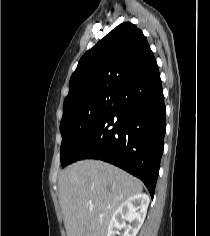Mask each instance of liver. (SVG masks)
<instances>
[{"instance_id":"obj_1","label":"liver","mask_w":210,"mask_h":236,"mask_svg":"<svg viewBox=\"0 0 210 236\" xmlns=\"http://www.w3.org/2000/svg\"><path fill=\"white\" fill-rule=\"evenodd\" d=\"M58 187L67 236H106L117 208L143 190L138 179L99 160L69 165Z\"/></svg>"}]
</instances>
